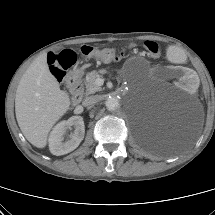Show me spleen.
I'll use <instances>...</instances> for the list:
<instances>
[{"mask_svg":"<svg viewBox=\"0 0 215 215\" xmlns=\"http://www.w3.org/2000/svg\"><path fill=\"white\" fill-rule=\"evenodd\" d=\"M167 54L172 62H181L185 57V52L181 48L169 47Z\"/></svg>","mask_w":215,"mask_h":215,"instance_id":"3e777b00","label":"spleen"}]
</instances>
